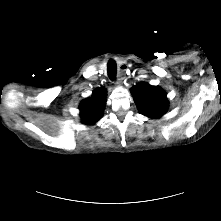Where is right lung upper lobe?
Segmentation results:
<instances>
[{
  "mask_svg": "<svg viewBox=\"0 0 221 221\" xmlns=\"http://www.w3.org/2000/svg\"><path fill=\"white\" fill-rule=\"evenodd\" d=\"M105 92L104 88H99L93 92L92 97L80 103L79 109L83 124L92 125L101 118L105 106Z\"/></svg>",
  "mask_w": 221,
  "mask_h": 221,
  "instance_id": "right-lung-upper-lobe-1",
  "label": "right lung upper lobe"
}]
</instances>
